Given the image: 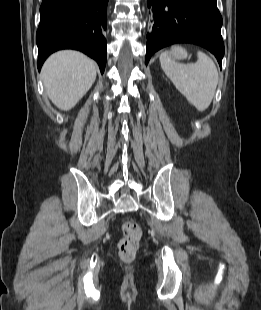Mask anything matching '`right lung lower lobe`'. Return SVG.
<instances>
[{
  "mask_svg": "<svg viewBox=\"0 0 261 310\" xmlns=\"http://www.w3.org/2000/svg\"><path fill=\"white\" fill-rule=\"evenodd\" d=\"M108 0H43L36 34L38 69L60 49H76L95 59L101 73L106 64Z\"/></svg>",
  "mask_w": 261,
  "mask_h": 310,
  "instance_id": "98d812e1",
  "label": "right lung lower lobe"
}]
</instances>
